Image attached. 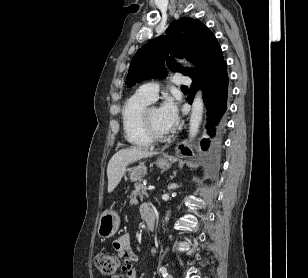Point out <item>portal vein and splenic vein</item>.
<instances>
[{"label": "portal vein and splenic vein", "instance_id": "1", "mask_svg": "<svg viewBox=\"0 0 308 278\" xmlns=\"http://www.w3.org/2000/svg\"><path fill=\"white\" fill-rule=\"evenodd\" d=\"M154 189H155L154 186H149V187H148V190H150V191H151V190H154Z\"/></svg>", "mask_w": 308, "mask_h": 278}]
</instances>
